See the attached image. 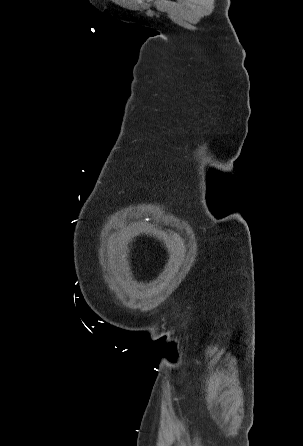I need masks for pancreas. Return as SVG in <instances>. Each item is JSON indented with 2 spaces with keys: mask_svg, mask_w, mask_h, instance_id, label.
<instances>
[{
  "mask_svg": "<svg viewBox=\"0 0 303 446\" xmlns=\"http://www.w3.org/2000/svg\"><path fill=\"white\" fill-rule=\"evenodd\" d=\"M133 7L136 8V7H138V5L135 3V4L133 5Z\"/></svg>",
  "mask_w": 303,
  "mask_h": 446,
  "instance_id": "pancreas-1",
  "label": "pancreas"
}]
</instances>
